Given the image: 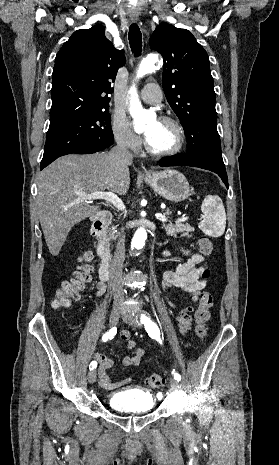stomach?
I'll list each match as a JSON object with an SVG mask.
<instances>
[{"mask_svg": "<svg viewBox=\"0 0 279 465\" xmlns=\"http://www.w3.org/2000/svg\"><path fill=\"white\" fill-rule=\"evenodd\" d=\"M145 181L163 198L180 202L190 195V185L186 177L177 170L165 169L145 176Z\"/></svg>", "mask_w": 279, "mask_h": 465, "instance_id": "0dacf381", "label": "stomach"}]
</instances>
